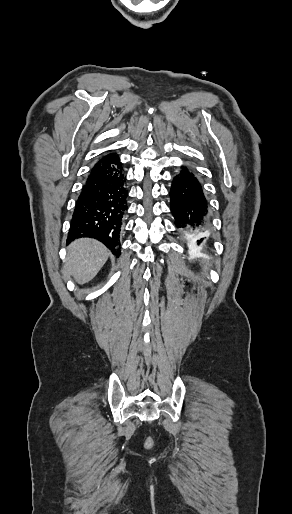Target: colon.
<instances>
[{
  "label": "colon",
  "mask_w": 292,
  "mask_h": 514,
  "mask_svg": "<svg viewBox=\"0 0 292 514\" xmlns=\"http://www.w3.org/2000/svg\"><path fill=\"white\" fill-rule=\"evenodd\" d=\"M153 445H154V440L151 436H149L145 441L144 447H145V449L150 450L153 448Z\"/></svg>",
  "instance_id": "1"
}]
</instances>
